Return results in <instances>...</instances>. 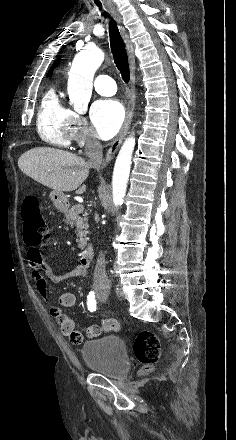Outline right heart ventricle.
Wrapping results in <instances>:
<instances>
[{"label": "right heart ventricle", "mask_w": 236, "mask_h": 440, "mask_svg": "<svg viewBox=\"0 0 236 440\" xmlns=\"http://www.w3.org/2000/svg\"><path fill=\"white\" fill-rule=\"evenodd\" d=\"M72 111L61 100L58 89L51 85L44 93L37 118L40 137L47 143L65 148L71 144Z\"/></svg>", "instance_id": "1"}]
</instances>
